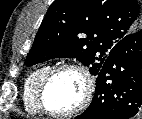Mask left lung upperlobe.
<instances>
[{"instance_id":"obj_1","label":"left lung upper lobe","mask_w":142,"mask_h":119,"mask_svg":"<svg viewBox=\"0 0 142 119\" xmlns=\"http://www.w3.org/2000/svg\"><path fill=\"white\" fill-rule=\"evenodd\" d=\"M141 26L137 0H55L26 63L31 66L55 57H75L96 76L109 51Z\"/></svg>"}]
</instances>
